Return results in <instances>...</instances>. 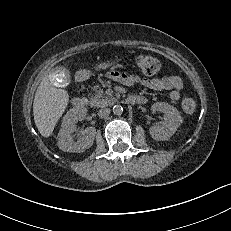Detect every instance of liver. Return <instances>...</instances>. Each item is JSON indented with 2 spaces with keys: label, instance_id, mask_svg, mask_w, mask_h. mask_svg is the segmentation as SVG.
<instances>
[{
  "label": "liver",
  "instance_id": "obj_1",
  "mask_svg": "<svg viewBox=\"0 0 231 231\" xmlns=\"http://www.w3.org/2000/svg\"><path fill=\"white\" fill-rule=\"evenodd\" d=\"M69 101L66 90L56 88L48 77L39 84L33 103V115L36 127L43 137H49Z\"/></svg>",
  "mask_w": 231,
  "mask_h": 231
}]
</instances>
